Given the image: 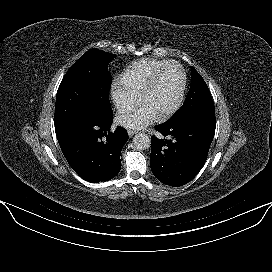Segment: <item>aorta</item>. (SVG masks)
Here are the masks:
<instances>
[{"label":"aorta","mask_w":272,"mask_h":272,"mask_svg":"<svg viewBox=\"0 0 272 272\" xmlns=\"http://www.w3.org/2000/svg\"><path fill=\"white\" fill-rule=\"evenodd\" d=\"M133 144L137 149L145 150L150 147L151 140L147 134L139 133L133 137Z\"/></svg>","instance_id":"aorta-1"}]
</instances>
